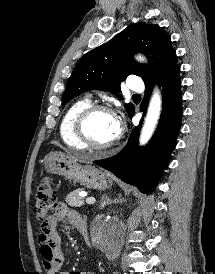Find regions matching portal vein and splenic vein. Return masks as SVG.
<instances>
[{
  "mask_svg": "<svg viewBox=\"0 0 215 274\" xmlns=\"http://www.w3.org/2000/svg\"><path fill=\"white\" fill-rule=\"evenodd\" d=\"M95 198L94 197H88L86 198V203L89 204V205H92L95 203Z\"/></svg>",
  "mask_w": 215,
  "mask_h": 274,
  "instance_id": "1",
  "label": "portal vein and splenic vein"
}]
</instances>
